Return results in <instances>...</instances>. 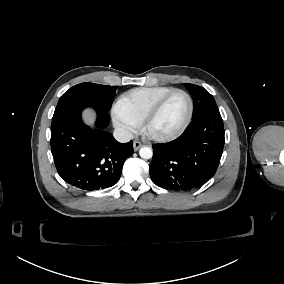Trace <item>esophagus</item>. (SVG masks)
Listing matches in <instances>:
<instances>
[{"instance_id": "1", "label": "esophagus", "mask_w": 284, "mask_h": 284, "mask_svg": "<svg viewBox=\"0 0 284 284\" xmlns=\"http://www.w3.org/2000/svg\"><path fill=\"white\" fill-rule=\"evenodd\" d=\"M141 145H142V143L140 141L135 140L133 142V149H134V151H137L141 147Z\"/></svg>"}]
</instances>
